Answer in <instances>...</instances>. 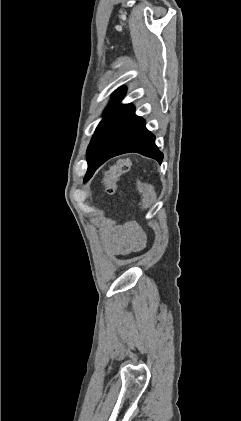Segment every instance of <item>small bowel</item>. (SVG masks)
Segmentation results:
<instances>
[{
  "instance_id": "small-bowel-1",
  "label": "small bowel",
  "mask_w": 241,
  "mask_h": 421,
  "mask_svg": "<svg viewBox=\"0 0 241 421\" xmlns=\"http://www.w3.org/2000/svg\"><path fill=\"white\" fill-rule=\"evenodd\" d=\"M108 241L114 254L122 255L141 250L146 243L145 234L134 224H126L111 230Z\"/></svg>"
}]
</instances>
